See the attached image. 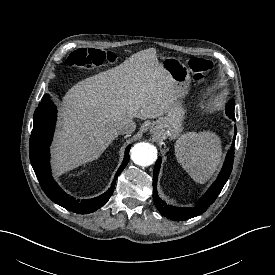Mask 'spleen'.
Instances as JSON below:
<instances>
[{"instance_id":"3e777b00","label":"spleen","mask_w":275,"mask_h":275,"mask_svg":"<svg viewBox=\"0 0 275 275\" xmlns=\"http://www.w3.org/2000/svg\"><path fill=\"white\" fill-rule=\"evenodd\" d=\"M175 155L191 178L203 184L213 176L221 163L220 138L206 131L184 134L176 142Z\"/></svg>"}]
</instances>
